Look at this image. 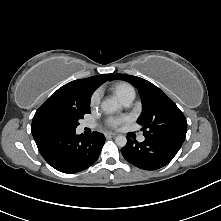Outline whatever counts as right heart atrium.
I'll list each match as a JSON object with an SVG mask.
<instances>
[{
    "mask_svg": "<svg viewBox=\"0 0 221 221\" xmlns=\"http://www.w3.org/2000/svg\"><path fill=\"white\" fill-rule=\"evenodd\" d=\"M100 97H101L100 91L99 90L94 91L90 97V105L96 106L100 101Z\"/></svg>",
    "mask_w": 221,
    "mask_h": 221,
    "instance_id": "d8ad5b80",
    "label": "right heart atrium"
}]
</instances>
